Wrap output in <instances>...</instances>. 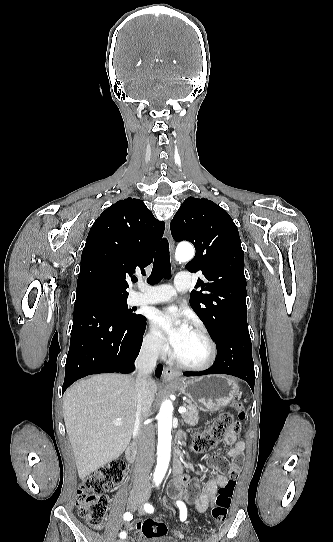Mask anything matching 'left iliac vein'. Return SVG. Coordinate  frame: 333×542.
Returning <instances> with one entry per match:
<instances>
[{"label":"left iliac vein","mask_w":333,"mask_h":542,"mask_svg":"<svg viewBox=\"0 0 333 542\" xmlns=\"http://www.w3.org/2000/svg\"><path fill=\"white\" fill-rule=\"evenodd\" d=\"M145 500H147L146 497H145ZM138 512H139V514H141V515H143V514L145 513L144 510L142 509V507H139V508H138Z\"/></svg>","instance_id":"obj_1"}]
</instances>
